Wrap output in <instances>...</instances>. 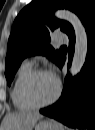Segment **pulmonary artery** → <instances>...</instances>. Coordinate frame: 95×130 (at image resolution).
Returning a JSON list of instances; mask_svg holds the SVG:
<instances>
[{
    "label": "pulmonary artery",
    "instance_id": "1",
    "mask_svg": "<svg viewBox=\"0 0 95 130\" xmlns=\"http://www.w3.org/2000/svg\"><path fill=\"white\" fill-rule=\"evenodd\" d=\"M55 41H57L59 43H66L68 41V38H67L65 33L58 32V33L55 34ZM26 62L29 63L28 60H26Z\"/></svg>",
    "mask_w": 95,
    "mask_h": 130
}]
</instances>
